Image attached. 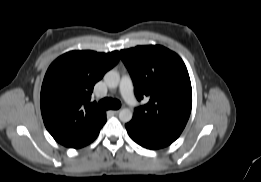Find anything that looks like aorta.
Listing matches in <instances>:
<instances>
[{"instance_id": "1", "label": "aorta", "mask_w": 261, "mask_h": 182, "mask_svg": "<svg viewBox=\"0 0 261 182\" xmlns=\"http://www.w3.org/2000/svg\"><path fill=\"white\" fill-rule=\"evenodd\" d=\"M104 82L106 83V85L109 88H116L119 85V82H120L119 73L114 71V70L108 71L104 75ZM132 117H133V113L128 108H123L119 112V119H120V121H122L124 123L131 121Z\"/></svg>"}]
</instances>
